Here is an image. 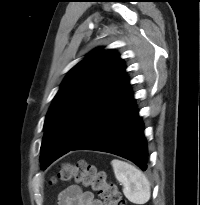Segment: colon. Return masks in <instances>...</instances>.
Wrapping results in <instances>:
<instances>
[{"instance_id":"1","label":"colon","mask_w":200,"mask_h":205,"mask_svg":"<svg viewBox=\"0 0 200 205\" xmlns=\"http://www.w3.org/2000/svg\"><path fill=\"white\" fill-rule=\"evenodd\" d=\"M74 181L97 192L104 205H126L117 186L107 180L104 171L85 160H79L75 164L63 163L53 182Z\"/></svg>"}]
</instances>
